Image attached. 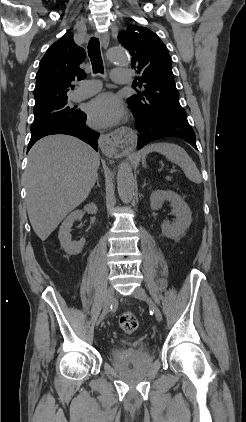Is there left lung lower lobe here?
<instances>
[{
  "instance_id": "obj_1",
  "label": "left lung lower lobe",
  "mask_w": 246,
  "mask_h": 422,
  "mask_svg": "<svg viewBox=\"0 0 246 422\" xmlns=\"http://www.w3.org/2000/svg\"><path fill=\"white\" fill-rule=\"evenodd\" d=\"M132 111L138 131V149L162 137H177L185 140L198 150L195 134L188 123L187 117L159 116L151 119L136 110L132 109Z\"/></svg>"
}]
</instances>
